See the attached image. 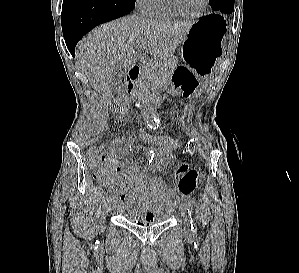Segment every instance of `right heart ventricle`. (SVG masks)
<instances>
[{
    "label": "right heart ventricle",
    "mask_w": 299,
    "mask_h": 273,
    "mask_svg": "<svg viewBox=\"0 0 299 273\" xmlns=\"http://www.w3.org/2000/svg\"><path fill=\"white\" fill-rule=\"evenodd\" d=\"M144 14L154 19H172L178 16L170 8L167 0H152Z\"/></svg>",
    "instance_id": "right-heart-ventricle-1"
}]
</instances>
